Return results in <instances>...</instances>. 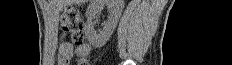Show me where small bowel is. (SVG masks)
Returning a JSON list of instances; mask_svg holds the SVG:
<instances>
[{"label":"small bowel","instance_id":"small-bowel-1","mask_svg":"<svg viewBox=\"0 0 232 65\" xmlns=\"http://www.w3.org/2000/svg\"><path fill=\"white\" fill-rule=\"evenodd\" d=\"M90 46L88 44L83 45L77 50L79 55H85L89 52ZM73 55V47L68 43H63L60 47V58L62 62L67 63Z\"/></svg>","mask_w":232,"mask_h":65}]
</instances>
